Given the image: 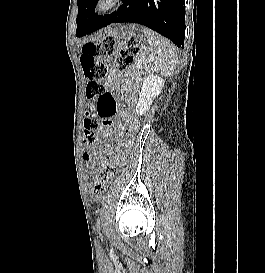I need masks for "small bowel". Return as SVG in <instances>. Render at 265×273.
<instances>
[{
    "mask_svg": "<svg viewBox=\"0 0 265 273\" xmlns=\"http://www.w3.org/2000/svg\"><path fill=\"white\" fill-rule=\"evenodd\" d=\"M117 82H118V75L115 72H111V74L107 78L106 86L109 90H113L117 87Z\"/></svg>",
    "mask_w": 265,
    "mask_h": 273,
    "instance_id": "1",
    "label": "small bowel"
}]
</instances>
